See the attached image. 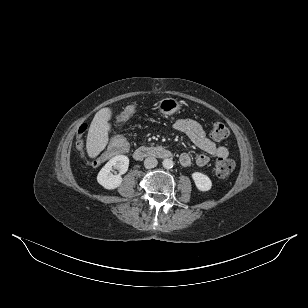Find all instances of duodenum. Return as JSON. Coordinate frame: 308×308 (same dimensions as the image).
<instances>
[{
	"label": "duodenum",
	"mask_w": 308,
	"mask_h": 308,
	"mask_svg": "<svg viewBox=\"0 0 308 308\" xmlns=\"http://www.w3.org/2000/svg\"><path fill=\"white\" fill-rule=\"evenodd\" d=\"M133 157L136 160H142L147 157L166 159L172 157V152L160 146L139 147L134 151Z\"/></svg>",
	"instance_id": "1"
}]
</instances>
